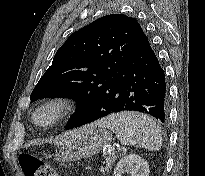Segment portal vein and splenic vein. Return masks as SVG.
I'll return each mask as SVG.
<instances>
[{"label":"portal vein and splenic vein","mask_w":205,"mask_h":176,"mask_svg":"<svg viewBox=\"0 0 205 176\" xmlns=\"http://www.w3.org/2000/svg\"><path fill=\"white\" fill-rule=\"evenodd\" d=\"M109 155H110V156H114V155H115V149H114V148H113V149H110Z\"/></svg>","instance_id":"1"}]
</instances>
